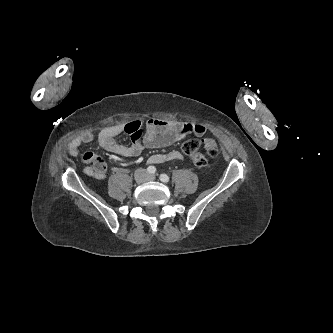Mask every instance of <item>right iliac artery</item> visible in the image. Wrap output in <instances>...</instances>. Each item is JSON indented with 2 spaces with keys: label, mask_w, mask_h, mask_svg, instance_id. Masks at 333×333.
Segmentation results:
<instances>
[{
  "label": "right iliac artery",
  "mask_w": 333,
  "mask_h": 333,
  "mask_svg": "<svg viewBox=\"0 0 333 333\" xmlns=\"http://www.w3.org/2000/svg\"><path fill=\"white\" fill-rule=\"evenodd\" d=\"M147 172L150 174H154L156 172V168L154 166H149L147 168Z\"/></svg>",
  "instance_id": "82829eb1"
}]
</instances>
